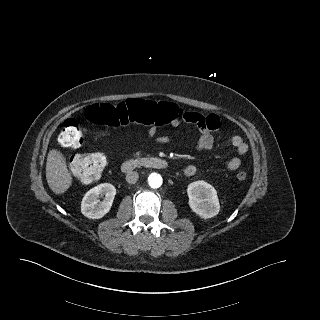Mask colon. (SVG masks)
<instances>
[{
    "mask_svg": "<svg viewBox=\"0 0 320 320\" xmlns=\"http://www.w3.org/2000/svg\"><path fill=\"white\" fill-rule=\"evenodd\" d=\"M178 114V109L170 103H154L137 98L119 104H93L85 111L89 122L111 127H119L129 122L158 126L171 122ZM82 142L79 122L75 119L66 120L59 135L60 145L65 148H77ZM107 161V155L104 153L76 154L70 159L69 167L80 181L90 183L99 178L107 166ZM236 177L243 181L247 178V173L240 171Z\"/></svg>",
    "mask_w": 320,
    "mask_h": 320,
    "instance_id": "1",
    "label": "colon"
}]
</instances>
